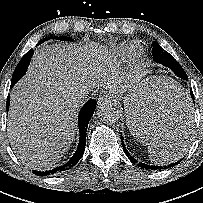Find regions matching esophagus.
Instances as JSON below:
<instances>
[{
	"instance_id": "1",
	"label": "esophagus",
	"mask_w": 203,
	"mask_h": 203,
	"mask_svg": "<svg viewBox=\"0 0 203 203\" xmlns=\"http://www.w3.org/2000/svg\"><path fill=\"white\" fill-rule=\"evenodd\" d=\"M112 102V99L109 95L107 94H102L98 97L97 103L98 105H106Z\"/></svg>"
}]
</instances>
